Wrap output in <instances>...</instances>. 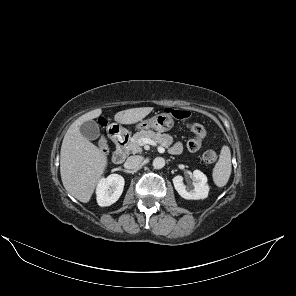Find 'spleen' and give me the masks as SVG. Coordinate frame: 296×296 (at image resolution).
I'll return each mask as SVG.
<instances>
[{"mask_svg":"<svg viewBox=\"0 0 296 296\" xmlns=\"http://www.w3.org/2000/svg\"><path fill=\"white\" fill-rule=\"evenodd\" d=\"M231 152L228 146H223L219 155V160L215 164L212 178L216 186L224 187L231 175Z\"/></svg>","mask_w":296,"mask_h":296,"instance_id":"3e777b00","label":"spleen"}]
</instances>
